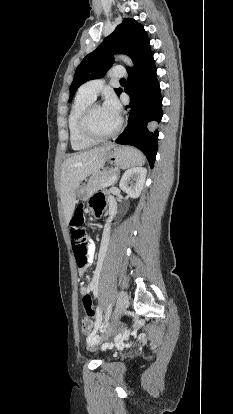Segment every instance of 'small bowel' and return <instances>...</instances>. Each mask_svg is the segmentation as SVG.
I'll list each match as a JSON object with an SVG mask.
<instances>
[{
	"mask_svg": "<svg viewBox=\"0 0 233 414\" xmlns=\"http://www.w3.org/2000/svg\"><path fill=\"white\" fill-rule=\"evenodd\" d=\"M103 202H104V198H103L102 194H100V193L95 194L91 198L90 204H91V207H92L93 211L96 214H99L101 212L102 207H103ZM114 213H115V205H114V202L112 200H110L109 201V218H111ZM87 251H88V263L84 267H78L80 275H83L86 272L87 268L93 262V259H94V256H95V246L92 242L88 243ZM103 257H104V254L100 253L97 268L94 272L92 280L88 284H86V283H81L80 284V290L83 294L92 293L93 295L97 296V294H98V281H99V275H100V271H101V267H102ZM98 308L100 309L101 307L99 306ZM96 329H97V327L95 326V330L89 334V336H88L89 340L92 341V340L95 339Z\"/></svg>",
	"mask_w": 233,
	"mask_h": 414,
	"instance_id": "small-bowel-1",
	"label": "small bowel"
}]
</instances>
